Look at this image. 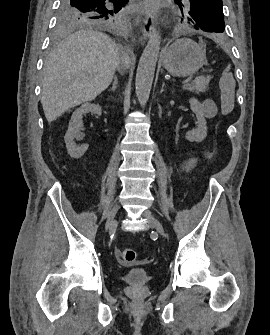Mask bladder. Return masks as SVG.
Wrapping results in <instances>:
<instances>
[{
    "mask_svg": "<svg viewBox=\"0 0 270 335\" xmlns=\"http://www.w3.org/2000/svg\"><path fill=\"white\" fill-rule=\"evenodd\" d=\"M123 278L129 286L144 285L148 279V270L145 268H134L128 270Z\"/></svg>",
    "mask_w": 270,
    "mask_h": 335,
    "instance_id": "1",
    "label": "bladder"
}]
</instances>
